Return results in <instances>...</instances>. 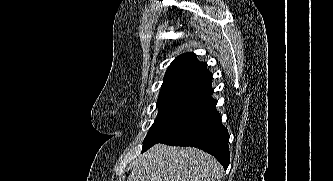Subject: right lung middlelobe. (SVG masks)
<instances>
[{
  "label": "right lung middle lobe",
  "instance_id": "dd1d6c3e",
  "mask_svg": "<svg viewBox=\"0 0 333 181\" xmlns=\"http://www.w3.org/2000/svg\"><path fill=\"white\" fill-rule=\"evenodd\" d=\"M208 111L184 107L159 108L158 117L149 129L143 151L156 143H167L178 139L195 127Z\"/></svg>",
  "mask_w": 333,
  "mask_h": 181
}]
</instances>
